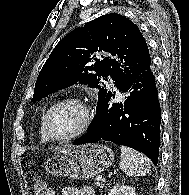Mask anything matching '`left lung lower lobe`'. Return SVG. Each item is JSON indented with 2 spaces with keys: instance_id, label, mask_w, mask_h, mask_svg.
<instances>
[{
  "instance_id": "0a47b994",
  "label": "left lung lower lobe",
  "mask_w": 189,
  "mask_h": 195,
  "mask_svg": "<svg viewBox=\"0 0 189 195\" xmlns=\"http://www.w3.org/2000/svg\"><path fill=\"white\" fill-rule=\"evenodd\" d=\"M118 89L128 92L125 101L112 103V94L97 111L88 132L73 144L111 141L144 153L157 165L161 111L151 62Z\"/></svg>"
}]
</instances>
